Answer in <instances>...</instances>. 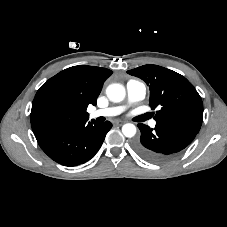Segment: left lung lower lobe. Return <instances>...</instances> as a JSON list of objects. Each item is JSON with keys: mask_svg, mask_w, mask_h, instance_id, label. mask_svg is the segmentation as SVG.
<instances>
[{"mask_svg": "<svg viewBox=\"0 0 227 227\" xmlns=\"http://www.w3.org/2000/svg\"><path fill=\"white\" fill-rule=\"evenodd\" d=\"M141 137L133 147L144 159L153 163H164L187 147L195 138L194 130L172 124L156 123L154 129L138 124Z\"/></svg>", "mask_w": 227, "mask_h": 227, "instance_id": "0a47b994", "label": "left lung lower lobe"}]
</instances>
